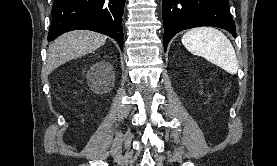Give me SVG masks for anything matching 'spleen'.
Instances as JSON below:
<instances>
[{"mask_svg":"<svg viewBox=\"0 0 277 166\" xmlns=\"http://www.w3.org/2000/svg\"><path fill=\"white\" fill-rule=\"evenodd\" d=\"M182 44L194 55L204 57L230 74H236L238 61L230 40L218 29L199 27L182 36Z\"/></svg>","mask_w":277,"mask_h":166,"instance_id":"3e777b00","label":"spleen"}]
</instances>
